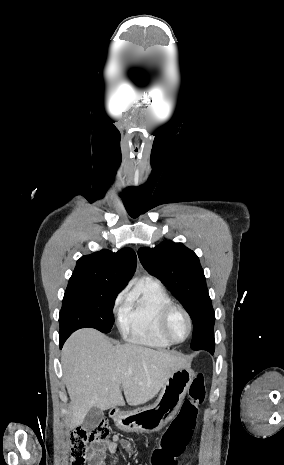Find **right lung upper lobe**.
<instances>
[{
	"instance_id": "obj_1",
	"label": "right lung upper lobe",
	"mask_w": 284,
	"mask_h": 465,
	"mask_svg": "<svg viewBox=\"0 0 284 465\" xmlns=\"http://www.w3.org/2000/svg\"><path fill=\"white\" fill-rule=\"evenodd\" d=\"M136 254L131 248L117 253L109 250L82 256L69 281H85L105 285L121 291L136 269Z\"/></svg>"
}]
</instances>
